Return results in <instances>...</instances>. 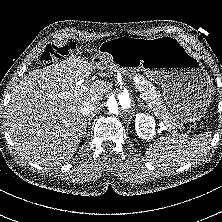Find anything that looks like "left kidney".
<instances>
[{
    "label": "left kidney",
    "mask_w": 222,
    "mask_h": 222,
    "mask_svg": "<svg viewBox=\"0 0 222 222\" xmlns=\"http://www.w3.org/2000/svg\"><path fill=\"white\" fill-rule=\"evenodd\" d=\"M135 129L140 138L150 141L155 137V119L148 114L138 113L135 118Z\"/></svg>",
    "instance_id": "left-kidney-1"
}]
</instances>
